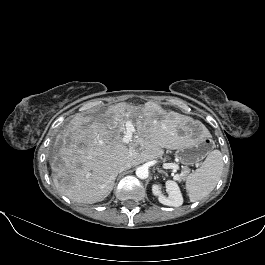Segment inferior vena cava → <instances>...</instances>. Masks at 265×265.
Here are the masks:
<instances>
[{
  "mask_svg": "<svg viewBox=\"0 0 265 265\" xmlns=\"http://www.w3.org/2000/svg\"><path fill=\"white\" fill-rule=\"evenodd\" d=\"M131 166H132V163L130 161H128V160L122 161V162L118 163V165H117V172L121 173L124 170L130 169Z\"/></svg>",
  "mask_w": 265,
  "mask_h": 265,
  "instance_id": "602c4592",
  "label": "inferior vena cava"
}]
</instances>
